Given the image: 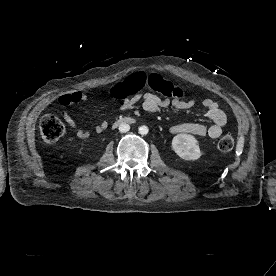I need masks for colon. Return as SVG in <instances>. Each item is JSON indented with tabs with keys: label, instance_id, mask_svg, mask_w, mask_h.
I'll use <instances>...</instances> for the list:
<instances>
[{
	"label": "colon",
	"instance_id": "5ec220e1",
	"mask_svg": "<svg viewBox=\"0 0 276 276\" xmlns=\"http://www.w3.org/2000/svg\"><path fill=\"white\" fill-rule=\"evenodd\" d=\"M145 87L170 100L178 102L185 100L184 93L180 88L163 80L158 75H146L144 73L134 74L128 80L116 86L112 93L116 98H123L134 95ZM40 130L45 142L54 143L64 135L65 125L58 116L46 114L41 119ZM233 146L234 138L231 134H225L218 142V148L222 152L231 151Z\"/></svg>",
	"mask_w": 276,
	"mask_h": 276
}]
</instances>
